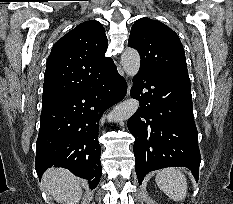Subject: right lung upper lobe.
I'll list each match as a JSON object with an SVG mask.
<instances>
[{
    "instance_id": "cb5924a9",
    "label": "right lung upper lobe",
    "mask_w": 233,
    "mask_h": 204,
    "mask_svg": "<svg viewBox=\"0 0 233 204\" xmlns=\"http://www.w3.org/2000/svg\"><path fill=\"white\" fill-rule=\"evenodd\" d=\"M107 37L103 26L86 21L58 40L48 57L43 86V105L91 86L114 65L105 57Z\"/></svg>"
}]
</instances>
